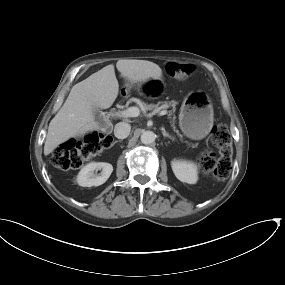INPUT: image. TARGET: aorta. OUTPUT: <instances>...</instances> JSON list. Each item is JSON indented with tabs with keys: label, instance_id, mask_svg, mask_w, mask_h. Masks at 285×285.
I'll return each mask as SVG.
<instances>
[{
	"label": "aorta",
	"instance_id": "aorta-1",
	"mask_svg": "<svg viewBox=\"0 0 285 285\" xmlns=\"http://www.w3.org/2000/svg\"><path fill=\"white\" fill-rule=\"evenodd\" d=\"M155 139H156V135L152 131H144L140 137L141 142L145 145H149L153 143Z\"/></svg>",
	"mask_w": 285,
	"mask_h": 285
}]
</instances>
